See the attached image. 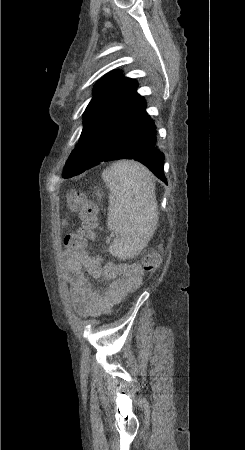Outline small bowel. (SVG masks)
<instances>
[{
    "label": "small bowel",
    "instance_id": "small-bowel-1",
    "mask_svg": "<svg viewBox=\"0 0 245 450\" xmlns=\"http://www.w3.org/2000/svg\"><path fill=\"white\" fill-rule=\"evenodd\" d=\"M64 256V266L72 291V306L83 316L100 317L109 314L143 280V272L137 264L118 267L105 262L100 254L91 255L86 252L82 257H77L68 249L64 251ZM86 273L95 280L110 282L109 288L100 293Z\"/></svg>",
    "mask_w": 245,
    "mask_h": 450
}]
</instances>
